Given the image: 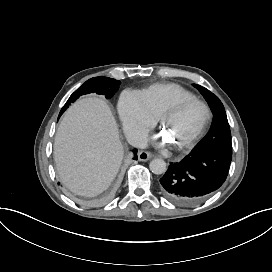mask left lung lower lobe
<instances>
[{
  "label": "left lung lower lobe",
  "mask_w": 272,
  "mask_h": 272,
  "mask_svg": "<svg viewBox=\"0 0 272 272\" xmlns=\"http://www.w3.org/2000/svg\"><path fill=\"white\" fill-rule=\"evenodd\" d=\"M231 159L232 154L222 151L190 153L179 163L170 164L160 179V191L173 203L195 204L224 183Z\"/></svg>",
  "instance_id": "1"
}]
</instances>
